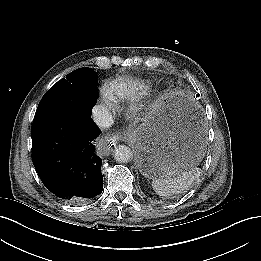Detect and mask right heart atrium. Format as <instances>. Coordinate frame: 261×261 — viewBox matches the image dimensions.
<instances>
[{
  "mask_svg": "<svg viewBox=\"0 0 261 261\" xmlns=\"http://www.w3.org/2000/svg\"><path fill=\"white\" fill-rule=\"evenodd\" d=\"M101 110L106 113L107 115H110L113 113L115 108V101L111 94L106 92L103 96V103L100 106Z\"/></svg>",
  "mask_w": 261,
  "mask_h": 261,
  "instance_id": "d8ad5b80",
  "label": "right heart atrium"
}]
</instances>
